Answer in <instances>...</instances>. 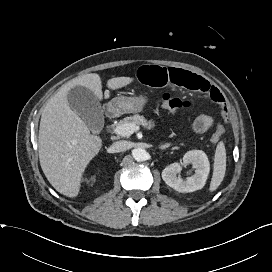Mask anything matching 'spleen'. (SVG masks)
I'll return each mask as SVG.
<instances>
[{"mask_svg": "<svg viewBox=\"0 0 272 272\" xmlns=\"http://www.w3.org/2000/svg\"><path fill=\"white\" fill-rule=\"evenodd\" d=\"M226 171V150L224 143L220 141L217 145L214 165H213V176L210 183L209 190L211 192L215 191L224 179Z\"/></svg>", "mask_w": 272, "mask_h": 272, "instance_id": "1", "label": "spleen"}]
</instances>
